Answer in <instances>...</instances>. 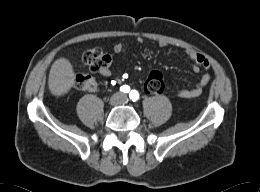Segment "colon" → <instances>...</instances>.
I'll return each mask as SVG.
<instances>
[{
    "mask_svg": "<svg viewBox=\"0 0 260 192\" xmlns=\"http://www.w3.org/2000/svg\"><path fill=\"white\" fill-rule=\"evenodd\" d=\"M82 61L90 70L100 72L109 68L111 65V57L102 51L100 47H90L84 50ZM75 85L82 91H95L98 88L96 80L88 74H77L75 77ZM165 87L164 78L158 71H153L146 79L143 89L149 94H158L163 92Z\"/></svg>",
    "mask_w": 260,
    "mask_h": 192,
    "instance_id": "colon-1",
    "label": "colon"
}]
</instances>
